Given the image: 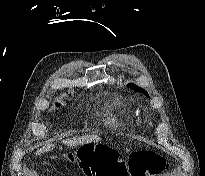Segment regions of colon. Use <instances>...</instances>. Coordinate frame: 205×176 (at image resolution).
<instances>
[{"label": "colon", "mask_w": 205, "mask_h": 176, "mask_svg": "<svg viewBox=\"0 0 205 176\" xmlns=\"http://www.w3.org/2000/svg\"><path fill=\"white\" fill-rule=\"evenodd\" d=\"M52 160L60 164L77 161L85 176H158L165 168L161 156L152 150H138L130 154L128 163H120L106 148L95 147L76 156L66 152L54 155Z\"/></svg>", "instance_id": "5ec220e1"}]
</instances>
